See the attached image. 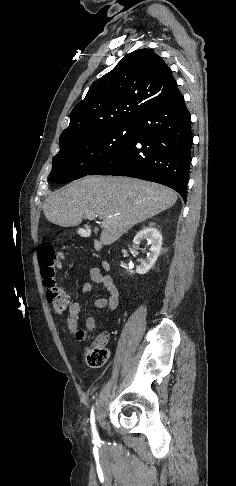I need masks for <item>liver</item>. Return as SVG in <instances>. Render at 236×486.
I'll use <instances>...</instances> for the list:
<instances>
[{
	"instance_id": "liver-1",
	"label": "liver",
	"mask_w": 236,
	"mask_h": 486,
	"mask_svg": "<svg viewBox=\"0 0 236 486\" xmlns=\"http://www.w3.org/2000/svg\"><path fill=\"white\" fill-rule=\"evenodd\" d=\"M176 193L157 183L128 177L86 176L49 196L43 205L48 221L77 226L87 211L103 220L101 242L110 245L138 223L172 207ZM99 229H94L97 234Z\"/></svg>"
}]
</instances>
